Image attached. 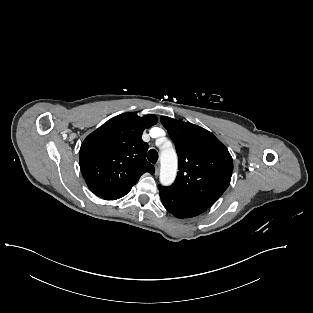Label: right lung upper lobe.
Segmentation results:
<instances>
[{"label":"right lung upper lobe","mask_w":313,"mask_h":313,"mask_svg":"<svg viewBox=\"0 0 313 313\" xmlns=\"http://www.w3.org/2000/svg\"><path fill=\"white\" fill-rule=\"evenodd\" d=\"M158 121L155 115L139 117L128 112L113 117L83 141L79 162L89 189L98 197L132 188L140 176L154 173L145 158L148 144L141 138Z\"/></svg>","instance_id":"1"}]
</instances>
